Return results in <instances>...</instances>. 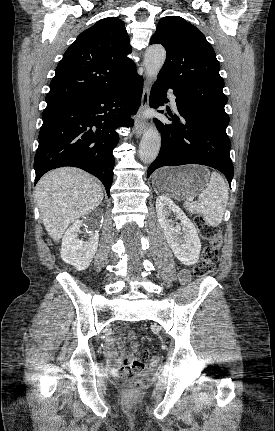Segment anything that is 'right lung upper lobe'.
I'll return each mask as SVG.
<instances>
[{
	"instance_id": "cb5924a9",
	"label": "right lung upper lobe",
	"mask_w": 275,
	"mask_h": 431,
	"mask_svg": "<svg viewBox=\"0 0 275 431\" xmlns=\"http://www.w3.org/2000/svg\"><path fill=\"white\" fill-rule=\"evenodd\" d=\"M132 48L122 20L109 17L82 32L59 62L46 102L54 103L116 89L136 75L127 58Z\"/></svg>"
}]
</instances>
